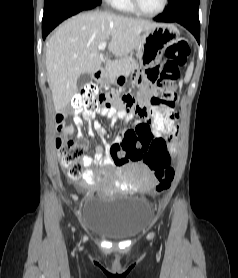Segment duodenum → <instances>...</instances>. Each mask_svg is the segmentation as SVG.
I'll use <instances>...</instances> for the list:
<instances>
[{"mask_svg":"<svg viewBox=\"0 0 238 278\" xmlns=\"http://www.w3.org/2000/svg\"><path fill=\"white\" fill-rule=\"evenodd\" d=\"M94 78L96 81L98 82H102L105 78V72L102 68H99L97 69L95 72H94Z\"/></svg>","mask_w":238,"mask_h":278,"instance_id":"duodenum-1","label":"duodenum"}]
</instances>
